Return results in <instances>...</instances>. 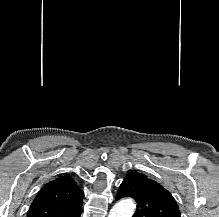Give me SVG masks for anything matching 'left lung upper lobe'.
<instances>
[{"label": "left lung upper lobe", "instance_id": "obj_1", "mask_svg": "<svg viewBox=\"0 0 219 217\" xmlns=\"http://www.w3.org/2000/svg\"><path fill=\"white\" fill-rule=\"evenodd\" d=\"M132 197L137 202L133 217H181L171 193L146 175L133 172L119 187L116 200Z\"/></svg>", "mask_w": 219, "mask_h": 217}]
</instances>
